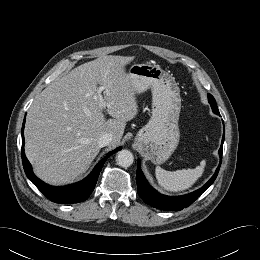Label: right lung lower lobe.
Listing matches in <instances>:
<instances>
[{
  "label": "right lung lower lobe",
  "instance_id": "98d812e1",
  "mask_svg": "<svg viewBox=\"0 0 260 260\" xmlns=\"http://www.w3.org/2000/svg\"><path fill=\"white\" fill-rule=\"evenodd\" d=\"M24 124L25 118L22 126V162L24 171L29 178V180L51 201L61 204L69 203H79L85 201L91 192L94 190L97 178L101 171L103 164L106 159L113 153L121 150V147L117 148L110 152L106 157H104L94 168L92 173L84 180L79 183L64 186V187H53L48 184H45L40 179H38L32 172V167L29 161L27 160L24 153Z\"/></svg>",
  "mask_w": 260,
  "mask_h": 260
}]
</instances>
